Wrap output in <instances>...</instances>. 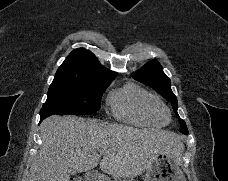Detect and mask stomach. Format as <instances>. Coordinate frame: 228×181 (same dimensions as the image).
<instances>
[{
	"label": "stomach",
	"instance_id": "stomach-1",
	"mask_svg": "<svg viewBox=\"0 0 228 181\" xmlns=\"http://www.w3.org/2000/svg\"><path fill=\"white\" fill-rule=\"evenodd\" d=\"M144 181H186L177 163L167 153H159L153 159V165L146 171Z\"/></svg>",
	"mask_w": 228,
	"mask_h": 181
}]
</instances>
